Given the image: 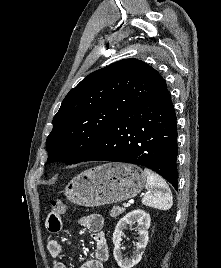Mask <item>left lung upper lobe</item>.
Returning <instances> with one entry per match:
<instances>
[{"label": "left lung upper lobe", "mask_w": 221, "mask_h": 268, "mask_svg": "<svg viewBox=\"0 0 221 268\" xmlns=\"http://www.w3.org/2000/svg\"><path fill=\"white\" fill-rule=\"evenodd\" d=\"M166 87L154 68L137 59L120 60L91 73L67 94L53 118L47 162L84 161L119 116Z\"/></svg>", "instance_id": "obj_1"}]
</instances>
